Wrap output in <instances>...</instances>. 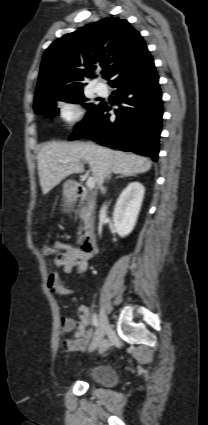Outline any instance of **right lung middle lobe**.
Returning <instances> with one entry per match:
<instances>
[{
    "label": "right lung middle lobe",
    "mask_w": 208,
    "mask_h": 425,
    "mask_svg": "<svg viewBox=\"0 0 208 425\" xmlns=\"http://www.w3.org/2000/svg\"><path fill=\"white\" fill-rule=\"evenodd\" d=\"M83 94V90L70 92V93H51L43 96L34 103V110L40 114L58 115L59 111L56 107L58 101L68 103H78L88 109V114L94 111L99 104L88 102Z\"/></svg>",
    "instance_id": "dd1d6c3e"
}]
</instances>
